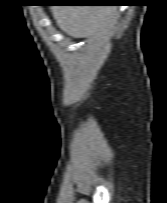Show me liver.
<instances>
[{
    "mask_svg": "<svg viewBox=\"0 0 167 203\" xmlns=\"http://www.w3.org/2000/svg\"><path fill=\"white\" fill-rule=\"evenodd\" d=\"M51 10L57 25L75 38L100 34L117 18V9L112 6H57Z\"/></svg>",
    "mask_w": 167,
    "mask_h": 203,
    "instance_id": "6515ba94",
    "label": "liver"
}]
</instances>
